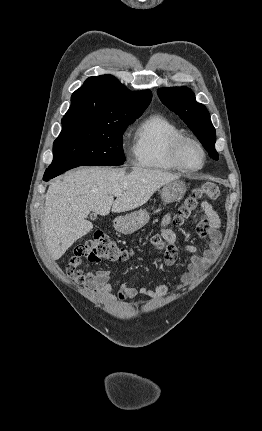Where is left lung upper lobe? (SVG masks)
Wrapping results in <instances>:
<instances>
[{"label":"left lung upper lobe","mask_w":262,"mask_h":431,"mask_svg":"<svg viewBox=\"0 0 262 431\" xmlns=\"http://www.w3.org/2000/svg\"><path fill=\"white\" fill-rule=\"evenodd\" d=\"M158 95L163 104L179 115L195 133L209 156L218 160L215 128L206 107L196 101L194 93L187 87H172L160 89Z\"/></svg>","instance_id":"obj_1"}]
</instances>
